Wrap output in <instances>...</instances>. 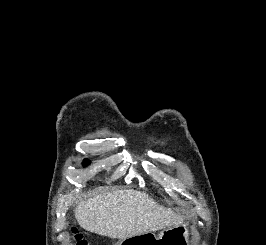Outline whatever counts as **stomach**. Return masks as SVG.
<instances>
[{
	"label": "stomach",
	"instance_id": "1",
	"mask_svg": "<svg viewBox=\"0 0 266 245\" xmlns=\"http://www.w3.org/2000/svg\"><path fill=\"white\" fill-rule=\"evenodd\" d=\"M125 242H158L160 245H188L189 235L186 225L169 227L161 231L159 237L155 233H135V237H125Z\"/></svg>",
	"mask_w": 266,
	"mask_h": 245
}]
</instances>
